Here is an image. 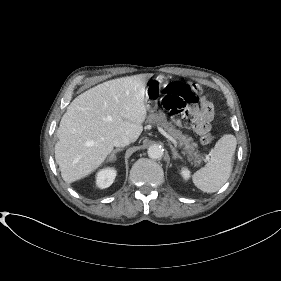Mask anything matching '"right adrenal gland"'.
Returning <instances> with one entry per match:
<instances>
[{
	"label": "right adrenal gland",
	"instance_id": "2a0ac1e0",
	"mask_svg": "<svg viewBox=\"0 0 281 281\" xmlns=\"http://www.w3.org/2000/svg\"><path fill=\"white\" fill-rule=\"evenodd\" d=\"M121 148H117L113 150V152L110 154V156L107 158V162H114L116 160V153L121 151Z\"/></svg>",
	"mask_w": 281,
	"mask_h": 281
}]
</instances>
